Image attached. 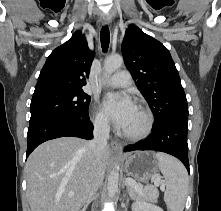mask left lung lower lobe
I'll list each match as a JSON object with an SVG mask.
<instances>
[{"label": "left lung lower lobe", "mask_w": 221, "mask_h": 211, "mask_svg": "<svg viewBox=\"0 0 221 211\" xmlns=\"http://www.w3.org/2000/svg\"><path fill=\"white\" fill-rule=\"evenodd\" d=\"M188 116L171 117L154 125L148 138L125 147V151L155 150L177 157L189 170L188 161Z\"/></svg>", "instance_id": "1"}]
</instances>
